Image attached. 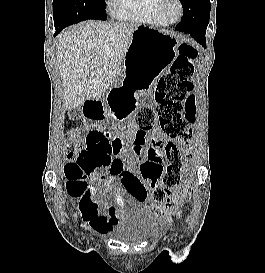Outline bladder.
Returning a JSON list of instances; mask_svg holds the SVG:
<instances>
[{"label": "bladder", "instance_id": "1", "mask_svg": "<svg viewBox=\"0 0 265 273\" xmlns=\"http://www.w3.org/2000/svg\"><path fill=\"white\" fill-rule=\"evenodd\" d=\"M159 225V217L143 206L128 208L115 226L113 233L123 241H144L153 237Z\"/></svg>", "mask_w": 265, "mask_h": 273}]
</instances>
